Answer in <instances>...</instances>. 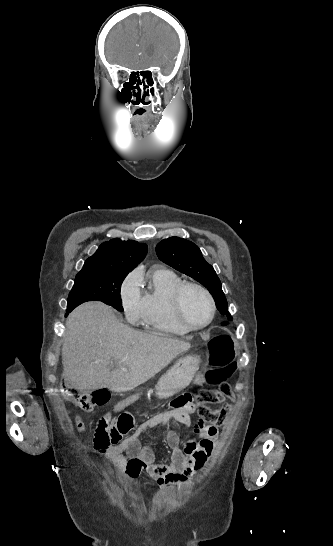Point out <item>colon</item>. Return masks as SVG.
<instances>
[{"instance_id":"1","label":"colon","mask_w":333,"mask_h":546,"mask_svg":"<svg viewBox=\"0 0 333 546\" xmlns=\"http://www.w3.org/2000/svg\"><path fill=\"white\" fill-rule=\"evenodd\" d=\"M208 368L204 373L205 383L215 384L218 389L208 395V399L215 403H221V399H234V393L228 380L239 373V368L233 360L234 348L226 335L214 336L208 345ZM72 403L84 411H92L95 407L104 405L109 400L108 393L97 390L93 392H79L73 389L67 390ZM192 404V397L184 395L176 399L175 407H183ZM135 413L134 411L132 412ZM78 430L84 429V423L80 418L75 420ZM130 419L126 414L117 417L105 416L98 422L94 434V448L98 453L105 454L109 449L117 445L129 432ZM204 421L198 420L195 428L201 430Z\"/></svg>"}]
</instances>
